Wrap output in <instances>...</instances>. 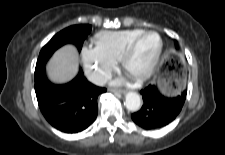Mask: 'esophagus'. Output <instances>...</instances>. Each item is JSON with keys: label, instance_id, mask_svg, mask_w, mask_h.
<instances>
[{"label": "esophagus", "instance_id": "34e87169", "mask_svg": "<svg viewBox=\"0 0 225 155\" xmlns=\"http://www.w3.org/2000/svg\"><path fill=\"white\" fill-rule=\"evenodd\" d=\"M112 92H114V93H120V94H125L126 93V90H123V89H112Z\"/></svg>", "mask_w": 225, "mask_h": 155}]
</instances>
